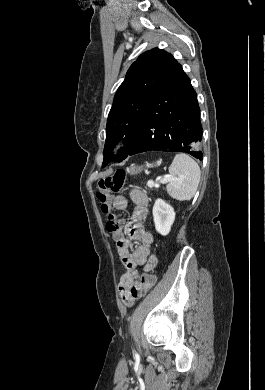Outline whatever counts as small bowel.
Returning <instances> with one entry per match:
<instances>
[{
    "label": "small bowel",
    "mask_w": 265,
    "mask_h": 390,
    "mask_svg": "<svg viewBox=\"0 0 265 390\" xmlns=\"http://www.w3.org/2000/svg\"><path fill=\"white\" fill-rule=\"evenodd\" d=\"M130 197L134 203L132 219L123 228L121 238L115 240L118 254L126 267V271L120 277L118 288L127 306H131L143 295L139 268L142 267L145 271H149L157 264V258L150 251L153 236L144 229L142 224L147 213L148 196L143 191L134 189ZM113 206L118 210H125L128 200L123 195H117L113 198ZM134 243H138V246L130 252Z\"/></svg>",
    "instance_id": "1"
}]
</instances>
